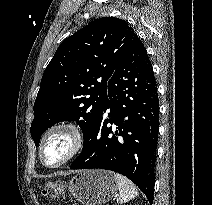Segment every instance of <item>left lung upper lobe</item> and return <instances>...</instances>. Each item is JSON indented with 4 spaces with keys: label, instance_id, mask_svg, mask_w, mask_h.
I'll return each instance as SVG.
<instances>
[{
    "label": "left lung upper lobe",
    "instance_id": "1",
    "mask_svg": "<svg viewBox=\"0 0 212 205\" xmlns=\"http://www.w3.org/2000/svg\"><path fill=\"white\" fill-rule=\"evenodd\" d=\"M135 35L124 20L104 17L66 38L46 67L34 103L31 136L60 121H76L84 144L108 102V81Z\"/></svg>",
    "mask_w": 212,
    "mask_h": 205
}]
</instances>
